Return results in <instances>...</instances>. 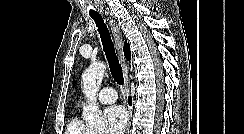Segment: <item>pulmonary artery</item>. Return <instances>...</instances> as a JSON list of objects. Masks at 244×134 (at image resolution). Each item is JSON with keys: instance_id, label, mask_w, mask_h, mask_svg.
<instances>
[{"instance_id": "1", "label": "pulmonary artery", "mask_w": 244, "mask_h": 134, "mask_svg": "<svg viewBox=\"0 0 244 134\" xmlns=\"http://www.w3.org/2000/svg\"><path fill=\"white\" fill-rule=\"evenodd\" d=\"M97 99L100 103L111 104L117 100V93L113 88L106 87L100 90L97 95Z\"/></svg>"}]
</instances>
